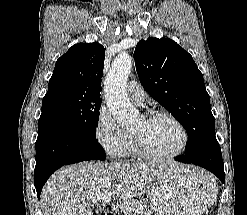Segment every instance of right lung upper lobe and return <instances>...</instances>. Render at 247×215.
Here are the masks:
<instances>
[{"label": "right lung upper lobe", "mask_w": 247, "mask_h": 215, "mask_svg": "<svg viewBox=\"0 0 247 215\" xmlns=\"http://www.w3.org/2000/svg\"><path fill=\"white\" fill-rule=\"evenodd\" d=\"M104 47L99 43L73 45L55 65L49 90L67 88L75 93L100 98Z\"/></svg>", "instance_id": "obj_1"}]
</instances>
